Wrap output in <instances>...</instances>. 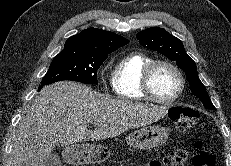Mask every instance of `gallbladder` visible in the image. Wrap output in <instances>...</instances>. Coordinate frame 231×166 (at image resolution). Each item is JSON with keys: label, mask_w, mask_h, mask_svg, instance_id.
<instances>
[{"label": "gallbladder", "mask_w": 231, "mask_h": 166, "mask_svg": "<svg viewBox=\"0 0 231 166\" xmlns=\"http://www.w3.org/2000/svg\"><path fill=\"white\" fill-rule=\"evenodd\" d=\"M46 166H60V160L58 155H53L48 160Z\"/></svg>", "instance_id": "gallbladder-1"}]
</instances>
